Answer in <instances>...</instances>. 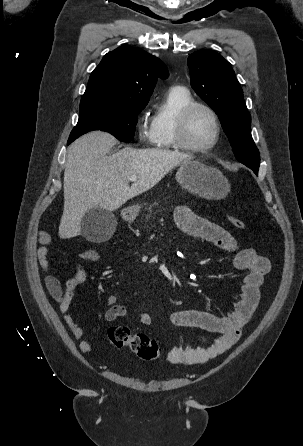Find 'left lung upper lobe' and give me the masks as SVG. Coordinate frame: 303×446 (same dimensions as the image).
<instances>
[{"instance_id":"1","label":"left lung upper lobe","mask_w":303,"mask_h":446,"mask_svg":"<svg viewBox=\"0 0 303 446\" xmlns=\"http://www.w3.org/2000/svg\"><path fill=\"white\" fill-rule=\"evenodd\" d=\"M187 64L192 88L218 115L236 158L258 174L260 157L250 133L251 116L231 64L212 50L194 52Z\"/></svg>"}]
</instances>
